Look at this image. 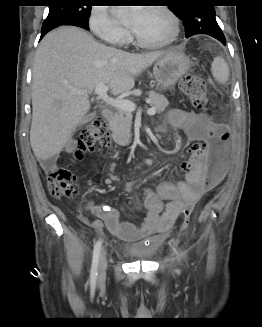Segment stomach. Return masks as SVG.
Instances as JSON below:
<instances>
[{
    "instance_id": "obj_1",
    "label": "stomach",
    "mask_w": 262,
    "mask_h": 327,
    "mask_svg": "<svg viewBox=\"0 0 262 327\" xmlns=\"http://www.w3.org/2000/svg\"><path fill=\"white\" fill-rule=\"evenodd\" d=\"M191 67L190 59L181 51H171L161 56L153 67V75L162 90L172 89Z\"/></svg>"
}]
</instances>
